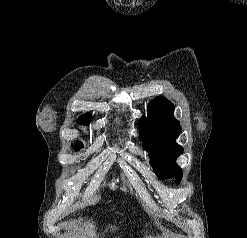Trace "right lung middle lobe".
<instances>
[{"instance_id":"1","label":"right lung middle lobe","mask_w":247,"mask_h":238,"mask_svg":"<svg viewBox=\"0 0 247 238\" xmlns=\"http://www.w3.org/2000/svg\"><path fill=\"white\" fill-rule=\"evenodd\" d=\"M82 147H83V146H76V145H75V148H76V149H80V148H82Z\"/></svg>"}]
</instances>
